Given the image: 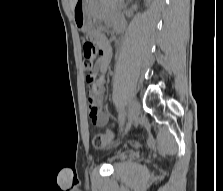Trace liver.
<instances>
[{"instance_id":"obj_1","label":"liver","mask_w":223,"mask_h":191,"mask_svg":"<svg viewBox=\"0 0 223 191\" xmlns=\"http://www.w3.org/2000/svg\"><path fill=\"white\" fill-rule=\"evenodd\" d=\"M76 1L77 0H70V6H71L72 11L74 9V6H75Z\"/></svg>"}]
</instances>
